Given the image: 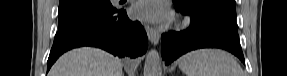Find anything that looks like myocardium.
Segmentation results:
<instances>
[{
  "label": "myocardium",
  "instance_id": "obj_1",
  "mask_svg": "<svg viewBox=\"0 0 287 76\" xmlns=\"http://www.w3.org/2000/svg\"><path fill=\"white\" fill-rule=\"evenodd\" d=\"M189 23H190V20H189L188 18H186V19L183 21L182 26H183V27H186V26L189 25Z\"/></svg>",
  "mask_w": 287,
  "mask_h": 76
}]
</instances>
